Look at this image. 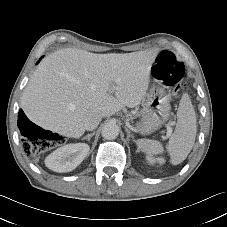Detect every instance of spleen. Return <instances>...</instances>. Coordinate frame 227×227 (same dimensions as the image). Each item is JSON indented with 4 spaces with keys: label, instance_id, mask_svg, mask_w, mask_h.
Wrapping results in <instances>:
<instances>
[{
    "label": "spleen",
    "instance_id": "spleen-1",
    "mask_svg": "<svg viewBox=\"0 0 227 227\" xmlns=\"http://www.w3.org/2000/svg\"><path fill=\"white\" fill-rule=\"evenodd\" d=\"M197 133L196 114L189 95L184 93L177 111V124L174 133L166 146L171 163L177 165L183 162L195 143ZM138 149L149 155H158L163 152L159 141L140 139L136 141Z\"/></svg>",
    "mask_w": 227,
    "mask_h": 227
}]
</instances>
